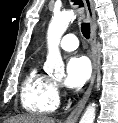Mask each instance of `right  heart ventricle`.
Wrapping results in <instances>:
<instances>
[{
	"instance_id": "right-heart-ventricle-1",
	"label": "right heart ventricle",
	"mask_w": 118,
	"mask_h": 123,
	"mask_svg": "<svg viewBox=\"0 0 118 123\" xmlns=\"http://www.w3.org/2000/svg\"><path fill=\"white\" fill-rule=\"evenodd\" d=\"M59 103L55 84L42 73L37 65L30 68L21 87V104L25 110L34 114H49Z\"/></svg>"
}]
</instances>
